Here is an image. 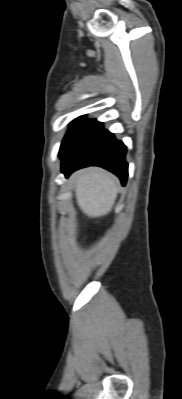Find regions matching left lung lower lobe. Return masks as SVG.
I'll return each mask as SVG.
<instances>
[{
	"label": "left lung lower lobe",
	"instance_id": "1",
	"mask_svg": "<svg viewBox=\"0 0 182 399\" xmlns=\"http://www.w3.org/2000/svg\"><path fill=\"white\" fill-rule=\"evenodd\" d=\"M125 154L123 142L103 129V123L84 120L59 155L62 160L61 171L68 177L79 168L100 166L117 175L122 185H125L128 177Z\"/></svg>",
	"mask_w": 182,
	"mask_h": 399
}]
</instances>
